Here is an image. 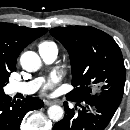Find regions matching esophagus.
<instances>
[{
	"instance_id": "esophagus-1",
	"label": "esophagus",
	"mask_w": 130,
	"mask_h": 130,
	"mask_svg": "<svg viewBox=\"0 0 130 130\" xmlns=\"http://www.w3.org/2000/svg\"><path fill=\"white\" fill-rule=\"evenodd\" d=\"M61 102L59 100H53V101H45V105L50 106L53 104H60Z\"/></svg>"
}]
</instances>
